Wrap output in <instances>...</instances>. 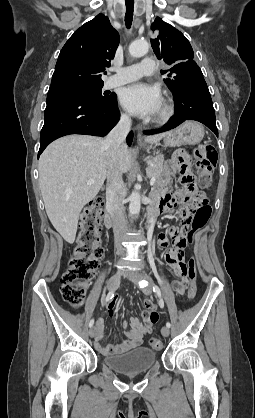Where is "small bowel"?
<instances>
[{
    "mask_svg": "<svg viewBox=\"0 0 255 418\" xmlns=\"http://www.w3.org/2000/svg\"><path fill=\"white\" fill-rule=\"evenodd\" d=\"M193 162V155L188 153L187 147H174L171 155V162L164 173L163 180L154 192V197L159 199L155 208L159 213L174 214L178 204L186 202L192 195L197 194V186L193 175L189 171L188 163ZM176 173L181 175L182 187L171 190L169 188ZM178 213L186 218L188 209H181ZM191 234L189 228H171L169 233H160L158 244L165 248L164 254L167 260V266L170 273H173L174 280L172 288L175 290L176 298L183 300L185 298V289L188 287V265L185 262L186 255V235ZM169 246V247H167ZM147 310L143 317L145 326L136 317H131L128 323H125V335L127 340L116 345H104L102 343L104 336V320H97L96 331L94 335L95 347L102 355L121 354L141 345L143 337L150 333L151 325L161 318V313L154 309L150 302H146ZM106 308L110 317L115 315L116 300H109Z\"/></svg>",
    "mask_w": 255,
    "mask_h": 418,
    "instance_id": "obj_1",
    "label": "small bowel"
}]
</instances>
